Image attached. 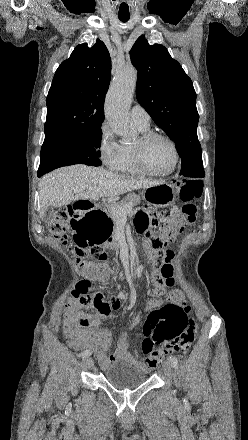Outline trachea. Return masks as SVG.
<instances>
[{
    "instance_id": "obj_1",
    "label": "trachea",
    "mask_w": 248,
    "mask_h": 440,
    "mask_svg": "<svg viewBox=\"0 0 248 440\" xmlns=\"http://www.w3.org/2000/svg\"><path fill=\"white\" fill-rule=\"evenodd\" d=\"M118 17L122 22H127L130 19L129 15H119Z\"/></svg>"
}]
</instances>
